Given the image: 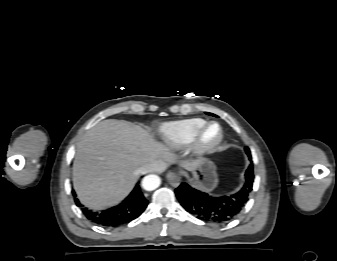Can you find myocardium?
Masks as SVG:
<instances>
[{"instance_id":"obj_1","label":"myocardium","mask_w":337,"mask_h":261,"mask_svg":"<svg viewBox=\"0 0 337 261\" xmlns=\"http://www.w3.org/2000/svg\"><path fill=\"white\" fill-rule=\"evenodd\" d=\"M211 126L217 127L218 135L213 142L205 144L203 142V136L206 130ZM223 138H224L223 129L219 123L213 121L206 122L194 135L190 145L191 151L197 156L209 155L220 146V144L223 141Z\"/></svg>"}]
</instances>
